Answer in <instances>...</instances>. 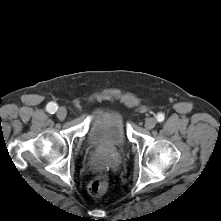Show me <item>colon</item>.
Instances as JSON below:
<instances>
[{
    "instance_id": "1",
    "label": "colon",
    "mask_w": 221,
    "mask_h": 221,
    "mask_svg": "<svg viewBox=\"0 0 221 221\" xmlns=\"http://www.w3.org/2000/svg\"><path fill=\"white\" fill-rule=\"evenodd\" d=\"M110 188L109 179L106 175L97 176L88 186V191L90 195L98 197L102 196Z\"/></svg>"
}]
</instances>
